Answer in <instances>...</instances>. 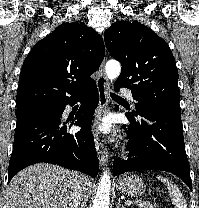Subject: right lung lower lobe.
<instances>
[{"label":"right lung lower lobe","instance_id":"right-lung-lower-lobe-1","mask_svg":"<svg viewBox=\"0 0 199 208\" xmlns=\"http://www.w3.org/2000/svg\"><path fill=\"white\" fill-rule=\"evenodd\" d=\"M84 101L70 125L61 120L67 104ZM99 101L96 83L84 93L66 103L53 106L52 113L34 114L17 118L13 151L9 161L8 183L23 168L40 162L57 164L95 177L99 162L91 133L95 108ZM75 124L82 129L68 133Z\"/></svg>","mask_w":199,"mask_h":208}]
</instances>
